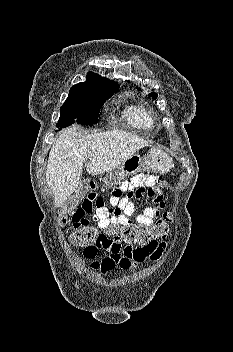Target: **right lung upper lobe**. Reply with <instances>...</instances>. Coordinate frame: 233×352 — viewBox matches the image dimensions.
I'll return each mask as SVG.
<instances>
[{
  "mask_svg": "<svg viewBox=\"0 0 233 352\" xmlns=\"http://www.w3.org/2000/svg\"><path fill=\"white\" fill-rule=\"evenodd\" d=\"M86 87H100L108 91H114L118 90L119 85L116 82L105 77H101L96 73L89 72L85 82L78 83L71 87L69 95H73Z\"/></svg>",
  "mask_w": 233,
  "mask_h": 352,
  "instance_id": "1",
  "label": "right lung upper lobe"
}]
</instances>
